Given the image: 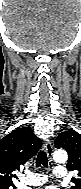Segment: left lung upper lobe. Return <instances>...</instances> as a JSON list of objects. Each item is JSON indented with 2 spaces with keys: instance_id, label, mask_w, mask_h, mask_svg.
<instances>
[{
  "instance_id": "obj_1",
  "label": "left lung upper lobe",
  "mask_w": 81,
  "mask_h": 189,
  "mask_svg": "<svg viewBox=\"0 0 81 189\" xmlns=\"http://www.w3.org/2000/svg\"><path fill=\"white\" fill-rule=\"evenodd\" d=\"M55 147L65 149L69 154L67 168L78 170L79 178H72L71 189H81V135L73 129L60 133L55 140Z\"/></svg>"
}]
</instances>
